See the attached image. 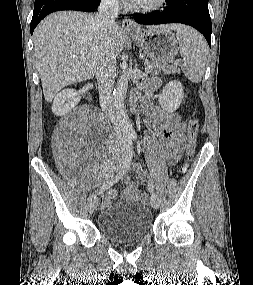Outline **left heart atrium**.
Listing matches in <instances>:
<instances>
[{
  "mask_svg": "<svg viewBox=\"0 0 253 285\" xmlns=\"http://www.w3.org/2000/svg\"><path fill=\"white\" fill-rule=\"evenodd\" d=\"M127 1L133 2L134 0H127Z\"/></svg>",
  "mask_w": 253,
  "mask_h": 285,
  "instance_id": "obj_1",
  "label": "left heart atrium"
}]
</instances>
